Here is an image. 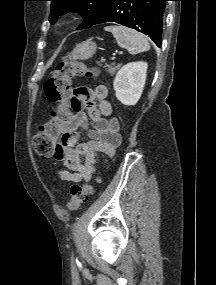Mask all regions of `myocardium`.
<instances>
[{
    "instance_id": "f54148a6",
    "label": "myocardium",
    "mask_w": 216,
    "mask_h": 285,
    "mask_svg": "<svg viewBox=\"0 0 216 285\" xmlns=\"http://www.w3.org/2000/svg\"><path fill=\"white\" fill-rule=\"evenodd\" d=\"M70 24V20L69 19H67V18H65V19H63V20H61V22H60V26L61 27H66V26H68Z\"/></svg>"
}]
</instances>
